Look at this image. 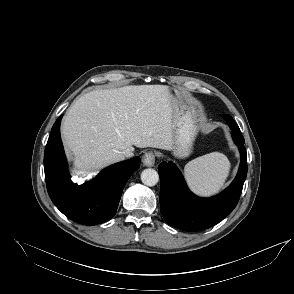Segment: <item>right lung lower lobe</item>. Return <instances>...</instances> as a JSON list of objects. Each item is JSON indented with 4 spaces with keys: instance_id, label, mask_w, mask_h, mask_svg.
Listing matches in <instances>:
<instances>
[{
    "instance_id": "98d812e1",
    "label": "right lung lower lobe",
    "mask_w": 294,
    "mask_h": 294,
    "mask_svg": "<svg viewBox=\"0 0 294 294\" xmlns=\"http://www.w3.org/2000/svg\"><path fill=\"white\" fill-rule=\"evenodd\" d=\"M60 116L54 123L45 154L44 168L48 194L69 219L83 225L110 220L116 213L123 188L140 166V158L113 164L91 182L78 186L69 176L60 137Z\"/></svg>"
}]
</instances>
